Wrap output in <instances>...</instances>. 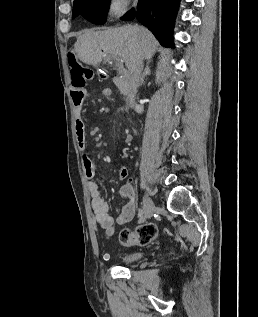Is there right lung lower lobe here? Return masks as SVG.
Returning <instances> with one entry per match:
<instances>
[{
	"mask_svg": "<svg viewBox=\"0 0 258 317\" xmlns=\"http://www.w3.org/2000/svg\"><path fill=\"white\" fill-rule=\"evenodd\" d=\"M180 0H139L136 11H128L121 19L137 20L146 26L165 47H174L172 31Z\"/></svg>",
	"mask_w": 258,
	"mask_h": 317,
	"instance_id": "right-lung-lower-lobe-1",
	"label": "right lung lower lobe"
}]
</instances>
